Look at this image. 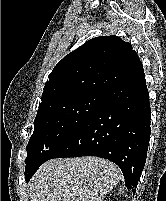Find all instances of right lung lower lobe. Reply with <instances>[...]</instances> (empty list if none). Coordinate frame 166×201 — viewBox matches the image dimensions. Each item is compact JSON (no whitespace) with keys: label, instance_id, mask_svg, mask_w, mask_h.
Returning <instances> with one entry per match:
<instances>
[{"label":"right lung lower lobe","instance_id":"98d812e1","mask_svg":"<svg viewBox=\"0 0 166 201\" xmlns=\"http://www.w3.org/2000/svg\"><path fill=\"white\" fill-rule=\"evenodd\" d=\"M151 109L142 63L107 91L95 110L47 160L98 156L117 164L135 193L146 162Z\"/></svg>","mask_w":166,"mask_h":201}]
</instances>
